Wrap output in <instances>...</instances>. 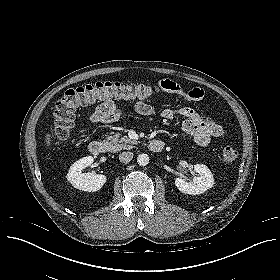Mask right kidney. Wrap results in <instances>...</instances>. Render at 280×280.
<instances>
[{
    "mask_svg": "<svg viewBox=\"0 0 280 280\" xmlns=\"http://www.w3.org/2000/svg\"><path fill=\"white\" fill-rule=\"evenodd\" d=\"M93 161V157L88 156L83 157L72 164L67 174V180L74 188L82 191L96 192L105 184L106 176L82 172L83 169L91 166Z\"/></svg>",
    "mask_w": 280,
    "mask_h": 280,
    "instance_id": "1",
    "label": "right kidney"
}]
</instances>
